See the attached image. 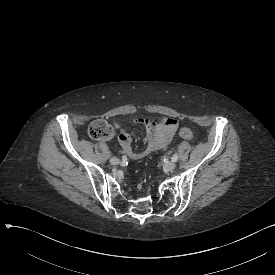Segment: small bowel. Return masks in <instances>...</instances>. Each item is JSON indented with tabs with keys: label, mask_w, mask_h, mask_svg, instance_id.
I'll list each match as a JSON object with an SVG mask.
<instances>
[{
	"label": "small bowel",
	"mask_w": 275,
	"mask_h": 275,
	"mask_svg": "<svg viewBox=\"0 0 275 275\" xmlns=\"http://www.w3.org/2000/svg\"><path fill=\"white\" fill-rule=\"evenodd\" d=\"M133 122L138 121L145 126L144 147L141 150L132 148L130 140L133 139L132 133H127L125 127L118 129L119 141L122 144L123 151L131 159L138 160L147 155L166 147L177 129V121L173 118H166L161 122L147 120L144 118H132Z\"/></svg>",
	"instance_id": "small-bowel-1"
}]
</instances>
